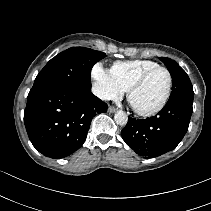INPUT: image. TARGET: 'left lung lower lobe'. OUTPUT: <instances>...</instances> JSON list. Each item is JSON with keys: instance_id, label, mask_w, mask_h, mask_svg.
Segmentation results:
<instances>
[{"instance_id": "obj_1", "label": "left lung lower lobe", "mask_w": 211, "mask_h": 211, "mask_svg": "<svg viewBox=\"0 0 211 211\" xmlns=\"http://www.w3.org/2000/svg\"><path fill=\"white\" fill-rule=\"evenodd\" d=\"M192 104L193 99L171 98L156 116L147 119L129 117L121 131L123 140L145 158L175 149L188 130Z\"/></svg>"}]
</instances>
